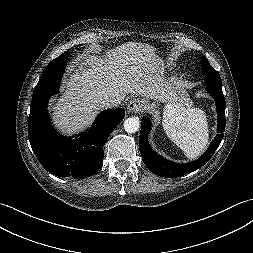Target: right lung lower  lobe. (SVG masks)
Segmentation results:
<instances>
[{
  "instance_id": "right-lung-lower-lobe-1",
  "label": "right lung lower lobe",
  "mask_w": 253,
  "mask_h": 253,
  "mask_svg": "<svg viewBox=\"0 0 253 253\" xmlns=\"http://www.w3.org/2000/svg\"><path fill=\"white\" fill-rule=\"evenodd\" d=\"M68 53L52 60L35 87L28 121L31 147L41 165L59 177L82 179L93 175L103 162L105 145L110 133L122 122L123 108L101 112L88 131L76 138L60 136L52 127L47 110L48 100L59 90Z\"/></svg>"
}]
</instances>
